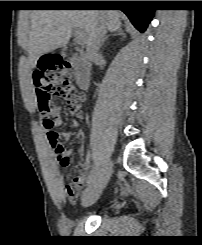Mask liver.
I'll list each match as a JSON object with an SVG mask.
<instances>
[{"instance_id": "liver-1", "label": "liver", "mask_w": 202, "mask_h": 245, "mask_svg": "<svg viewBox=\"0 0 202 245\" xmlns=\"http://www.w3.org/2000/svg\"><path fill=\"white\" fill-rule=\"evenodd\" d=\"M100 21L113 32L121 28L120 13L115 10H34L30 27L21 36L20 44L27 49L32 68L38 59L68 44L73 28L85 33L88 47Z\"/></svg>"}]
</instances>
